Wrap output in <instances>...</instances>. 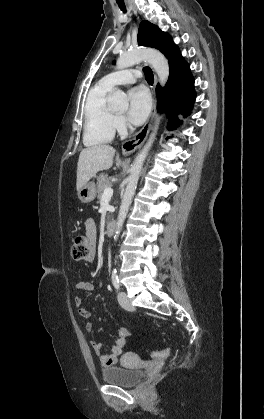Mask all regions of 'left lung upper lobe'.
<instances>
[{
    "mask_svg": "<svg viewBox=\"0 0 264 419\" xmlns=\"http://www.w3.org/2000/svg\"><path fill=\"white\" fill-rule=\"evenodd\" d=\"M138 44L159 49L162 53L170 51L174 45L171 36L161 31L156 25L142 21L139 26Z\"/></svg>",
    "mask_w": 264,
    "mask_h": 419,
    "instance_id": "left-lung-upper-lobe-1",
    "label": "left lung upper lobe"
}]
</instances>
